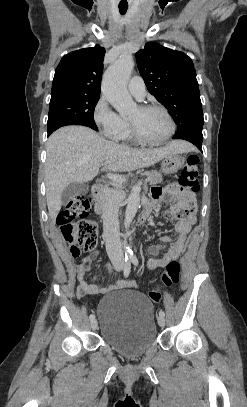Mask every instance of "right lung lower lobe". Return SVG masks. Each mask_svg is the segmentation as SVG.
Masks as SVG:
<instances>
[{
	"mask_svg": "<svg viewBox=\"0 0 247 407\" xmlns=\"http://www.w3.org/2000/svg\"><path fill=\"white\" fill-rule=\"evenodd\" d=\"M58 129V128H57ZM56 130V129H55ZM55 130L48 131V136Z\"/></svg>",
	"mask_w": 247,
	"mask_h": 407,
	"instance_id": "1",
	"label": "right lung lower lobe"
}]
</instances>
